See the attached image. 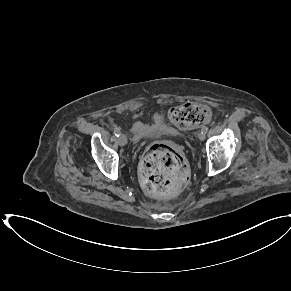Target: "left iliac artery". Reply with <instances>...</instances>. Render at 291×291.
I'll return each mask as SVG.
<instances>
[{
	"label": "left iliac artery",
	"mask_w": 291,
	"mask_h": 291,
	"mask_svg": "<svg viewBox=\"0 0 291 291\" xmlns=\"http://www.w3.org/2000/svg\"><path fill=\"white\" fill-rule=\"evenodd\" d=\"M201 131H202L203 133H207V131H208V127H207V126H204V127L201 129Z\"/></svg>",
	"instance_id": "44dca946"
}]
</instances>
